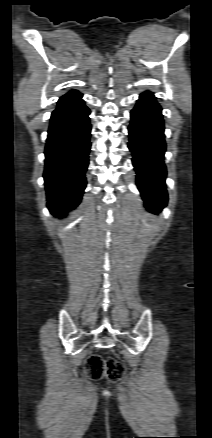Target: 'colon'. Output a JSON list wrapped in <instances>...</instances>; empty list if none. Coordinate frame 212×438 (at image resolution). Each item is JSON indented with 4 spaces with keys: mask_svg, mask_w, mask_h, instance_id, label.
I'll return each instance as SVG.
<instances>
[{
    "mask_svg": "<svg viewBox=\"0 0 212 438\" xmlns=\"http://www.w3.org/2000/svg\"><path fill=\"white\" fill-rule=\"evenodd\" d=\"M85 371L93 380L107 377L111 381H117L123 377L125 366L113 358H104L95 354L86 360Z\"/></svg>",
    "mask_w": 212,
    "mask_h": 438,
    "instance_id": "1",
    "label": "colon"
}]
</instances>
